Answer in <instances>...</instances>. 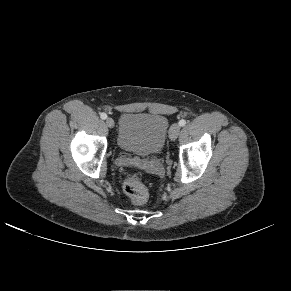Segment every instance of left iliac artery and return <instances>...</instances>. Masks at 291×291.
I'll return each instance as SVG.
<instances>
[{
    "label": "left iliac artery",
    "instance_id": "44dca946",
    "mask_svg": "<svg viewBox=\"0 0 291 291\" xmlns=\"http://www.w3.org/2000/svg\"><path fill=\"white\" fill-rule=\"evenodd\" d=\"M185 124H186V120L182 119V120L179 121V125L181 127L185 126Z\"/></svg>",
    "mask_w": 291,
    "mask_h": 291
}]
</instances>
